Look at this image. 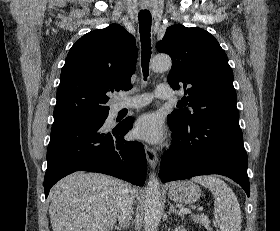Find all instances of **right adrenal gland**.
<instances>
[{
  "label": "right adrenal gland",
  "instance_id": "2a0ac1e0",
  "mask_svg": "<svg viewBox=\"0 0 280 231\" xmlns=\"http://www.w3.org/2000/svg\"><path fill=\"white\" fill-rule=\"evenodd\" d=\"M114 229H117V231H120L121 227H119V225H114Z\"/></svg>",
  "mask_w": 280,
  "mask_h": 231
}]
</instances>
